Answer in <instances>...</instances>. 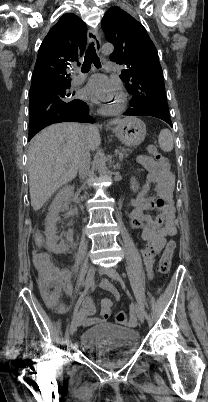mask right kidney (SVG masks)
Listing matches in <instances>:
<instances>
[{
    "label": "right kidney",
    "mask_w": 208,
    "mask_h": 402,
    "mask_svg": "<svg viewBox=\"0 0 208 402\" xmlns=\"http://www.w3.org/2000/svg\"><path fill=\"white\" fill-rule=\"evenodd\" d=\"M74 192V186H64L59 190L58 194H56L49 210V214L46 220V228H45V236L46 242L49 250L54 252V254H63L68 250L67 244L61 242V244H57L59 238L56 236V222H59V212H64V210H69V202L70 198H72ZM68 242H72L73 240V232H69L67 234Z\"/></svg>",
    "instance_id": "ca27d5eb"
}]
</instances>
